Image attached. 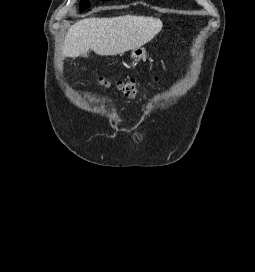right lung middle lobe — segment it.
<instances>
[{"instance_id":"right-lung-middle-lobe-1","label":"right lung middle lobe","mask_w":255,"mask_h":272,"mask_svg":"<svg viewBox=\"0 0 255 272\" xmlns=\"http://www.w3.org/2000/svg\"><path fill=\"white\" fill-rule=\"evenodd\" d=\"M81 4H83L84 7H89L90 6V4H89V2L87 0H82Z\"/></svg>"}]
</instances>
